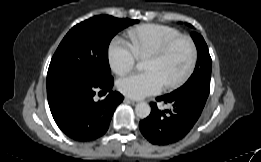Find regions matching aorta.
Listing matches in <instances>:
<instances>
[{"label":"aorta","mask_w":261,"mask_h":162,"mask_svg":"<svg viewBox=\"0 0 261 162\" xmlns=\"http://www.w3.org/2000/svg\"><path fill=\"white\" fill-rule=\"evenodd\" d=\"M150 112L151 108L145 102H140L135 107V113L141 119L147 118L150 115Z\"/></svg>","instance_id":"762f6f07"}]
</instances>
